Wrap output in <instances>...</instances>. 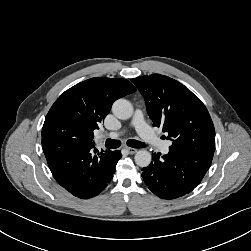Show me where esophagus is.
I'll list each match as a JSON object with an SVG mask.
<instances>
[{
    "instance_id": "1",
    "label": "esophagus",
    "mask_w": 251,
    "mask_h": 251,
    "mask_svg": "<svg viewBox=\"0 0 251 251\" xmlns=\"http://www.w3.org/2000/svg\"><path fill=\"white\" fill-rule=\"evenodd\" d=\"M125 149L129 154H134L138 151L136 148H131V147H126Z\"/></svg>"
}]
</instances>
